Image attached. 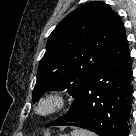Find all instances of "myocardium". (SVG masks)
I'll list each match as a JSON object with an SVG mask.
<instances>
[{
  "label": "myocardium",
  "mask_w": 136,
  "mask_h": 136,
  "mask_svg": "<svg viewBox=\"0 0 136 136\" xmlns=\"http://www.w3.org/2000/svg\"><path fill=\"white\" fill-rule=\"evenodd\" d=\"M67 104L65 94L52 90L42 95L34 104L33 111L39 117H49L62 111Z\"/></svg>",
  "instance_id": "f54148a6"
}]
</instances>
